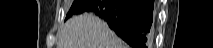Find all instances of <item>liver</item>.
<instances>
[{
    "mask_svg": "<svg viewBox=\"0 0 213 48\" xmlns=\"http://www.w3.org/2000/svg\"><path fill=\"white\" fill-rule=\"evenodd\" d=\"M100 18L82 14L69 19L61 28L57 48H126Z\"/></svg>",
    "mask_w": 213,
    "mask_h": 48,
    "instance_id": "6515ba94",
    "label": "liver"
}]
</instances>
